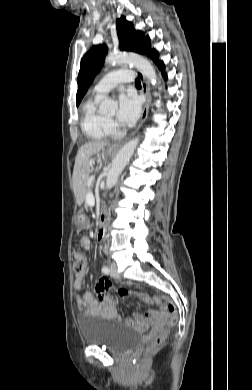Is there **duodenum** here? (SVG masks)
<instances>
[{
    "instance_id": "obj_1",
    "label": "duodenum",
    "mask_w": 252,
    "mask_h": 390,
    "mask_svg": "<svg viewBox=\"0 0 252 390\" xmlns=\"http://www.w3.org/2000/svg\"><path fill=\"white\" fill-rule=\"evenodd\" d=\"M99 220H100V227L99 230L96 234V240L97 241H102L106 235V231L108 228V223H107V212L105 210H102L99 215Z\"/></svg>"
}]
</instances>
